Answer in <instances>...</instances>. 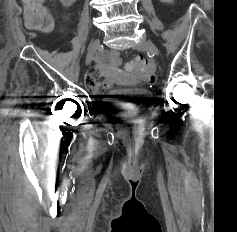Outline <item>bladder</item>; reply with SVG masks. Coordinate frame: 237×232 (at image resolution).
I'll return each instance as SVG.
<instances>
[{
  "label": "bladder",
  "instance_id": "obj_1",
  "mask_svg": "<svg viewBox=\"0 0 237 232\" xmlns=\"http://www.w3.org/2000/svg\"><path fill=\"white\" fill-rule=\"evenodd\" d=\"M127 94H129L127 91L114 90L112 97L99 101L98 105L101 110L109 115L130 114L135 108V104L130 100L122 98V96Z\"/></svg>",
  "mask_w": 237,
  "mask_h": 232
}]
</instances>
